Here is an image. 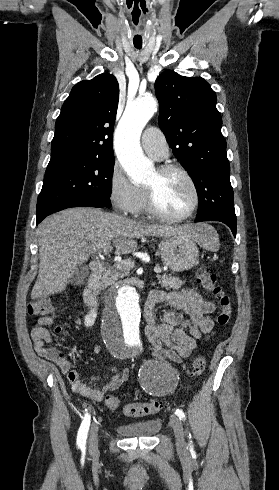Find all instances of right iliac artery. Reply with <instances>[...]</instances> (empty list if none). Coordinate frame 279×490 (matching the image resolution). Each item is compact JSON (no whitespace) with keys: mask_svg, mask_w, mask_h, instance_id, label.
Returning a JSON list of instances; mask_svg holds the SVG:
<instances>
[{"mask_svg":"<svg viewBox=\"0 0 279 490\" xmlns=\"http://www.w3.org/2000/svg\"><path fill=\"white\" fill-rule=\"evenodd\" d=\"M87 411V410H86ZM90 426V415L88 413L85 414V417L81 423V426L77 435V445L83 451L85 450L87 434Z\"/></svg>","mask_w":279,"mask_h":490,"instance_id":"right-iliac-artery-1","label":"right iliac artery"}]
</instances>
